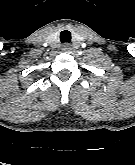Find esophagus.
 Returning a JSON list of instances; mask_svg holds the SVG:
<instances>
[{"mask_svg": "<svg viewBox=\"0 0 135 165\" xmlns=\"http://www.w3.org/2000/svg\"><path fill=\"white\" fill-rule=\"evenodd\" d=\"M62 50H63L64 52H69V51L71 50V45L68 44V43L63 44Z\"/></svg>", "mask_w": 135, "mask_h": 165, "instance_id": "34e87169", "label": "esophagus"}]
</instances>
